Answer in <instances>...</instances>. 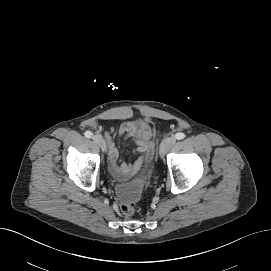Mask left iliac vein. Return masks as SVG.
<instances>
[{
    "label": "left iliac vein",
    "instance_id": "4c4485c4",
    "mask_svg": "<svg viewBox=\"0 0 271 271\" xmlns=\"http://www.w3.org/2000/svg\"><path fill=\"white\" fill-rule=\"evenodd\" d=\"M175 143H176V138L175 137L166 138L161 143L160 150H159L160 156L163 157Z\"/></svg>",
    "mask_w": 271,
    "mask_h": 271
}]
</instances>
